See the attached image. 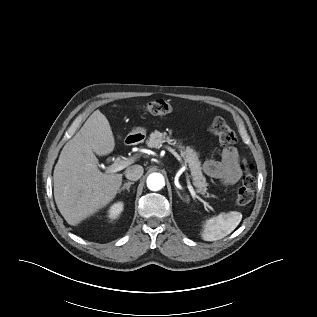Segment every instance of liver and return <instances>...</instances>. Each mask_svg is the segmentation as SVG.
<instances>
[{
	"mask_svg": "<svg viewBox=\"0 0 317 317\" xmlns=\"http://www.w3.org/2000/svg\"><path fill=\"white\" fill-rule=\"evenodd\" d=\"M114 147L109 121L99 110L63 147L53 173L54 198L69 225L79 224L115 198L122 174L102 173L95 155H108Z\"/></svg>",
	"mask_w": 317,
	"mask_h": 317,
	"instance_id": "liver-1",
	"label": "liver"
}]
</instances>
